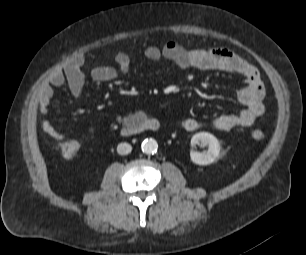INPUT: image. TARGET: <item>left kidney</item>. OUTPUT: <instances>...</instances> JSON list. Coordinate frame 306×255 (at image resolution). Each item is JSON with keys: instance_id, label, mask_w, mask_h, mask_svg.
I'll return each instance as SVG.
<instances>
[{"instance_id": "obj_1", "label": "left kidney", "mask_w": 306, "mask_h": 255, "mask_svg": "<svg viewBox=\"0 0 306 255\" xmlns=\"http://www.w3.org/2000/svg\"><path fill=\"white\" fill-rule=\"evenodd\" d=\"M199 144H201V146H208V150L206 152H198L192 149L190 152L192 162L198 165L213 163L220 153V144L217 138L210 133L199 132L192 136L191 146L194 148Z\"/></svg>"}]
</instances>
